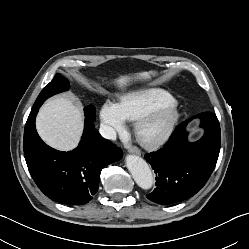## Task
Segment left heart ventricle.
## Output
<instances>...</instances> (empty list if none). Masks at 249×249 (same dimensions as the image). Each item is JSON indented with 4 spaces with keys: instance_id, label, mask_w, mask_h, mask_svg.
<instances>
[{
    "instance_id": "obj_1",
    "label": "left heart ventricle",
    "mask_w": 249,
    "mask_h": 249,
    "mask_svg": "<svg viewBox=\"0 0 249 249\" xmlns=\"http://www.w3.org/2000/svg\"><path fill=\"white\" fill-rule=\"evenodd\" d=\"M160 122H161L160 119L155 120L150 125L146 126V131L149 132V131L153 130L156 126H158L160 124Z\"/></svg>"
}]
</instances>
